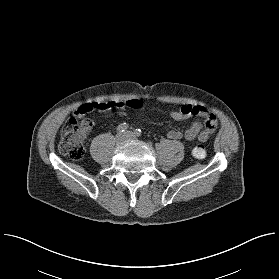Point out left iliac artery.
Wrapping results in <instances>:
<instances>
[{"label":"left iliac artery","instance_id":"left-iliac-artery-1","mask_svg":"<svg viewBox=\"0 0 279 279\" xmlns=\"http://www.w3.org/2000/svg\"><path fill=\"white\" fill-rule=\"evenodd\" d=\"M134 134H135V136H137V137L141 136V135H142L141 129H136V130L134 131Z\"/></svg>","mask_w":279,"mask_h":279}]
</instances>
